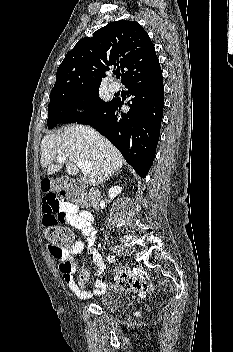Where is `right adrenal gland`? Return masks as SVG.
<instances>
[{"instance_id":"right-adrenal-gland-1","label":"right adrenal gland","mask_w":233,"mask_h":352,"mask_svg":"<svg viewBox=\"0 0 233 352\" xmlns=\"http://www.w3.org/2000/svg\"><path fill=\"white\" fill-rule=\"evenodd\" d=\"M120 172H116L115 174H119ZM114 175V173L113 174H110L108 177H106V178H104L103 179V181H102V183H104L105 181H107L108 179H110V177H112Z\"/></svg>"}]
</instances>
